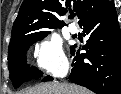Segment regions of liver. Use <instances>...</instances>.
I'll list each match as a JSON object with an SVG mask.
<instances>
[{
	"mask_svg": "<svg viewBox=\"0 0 121 94\" xmlns=\"http://www.w3.org/2000/svg\"><path fill=\"white\" fill-rule=\"evenodd\" d=\"M19 94H92L91 91L74 84L47 82L25 89Z\"/></svg>",
	"mask_w": 121,
	"mask_h": 94,
	"instance_id": "liver-1",
	"label": "liver"
}]
</instances>
